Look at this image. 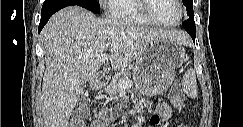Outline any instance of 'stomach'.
<instances>
[{
	"label": "stomach",
	"instance_id": "stomach-1",
	"mask_svg": "<svg viewBox=\"0 0 243 127\" xmlns=\"http://www.w3.org/2000/svg\"><path fill=\"white\" fill-rule=\"evenodd\" d=\"M185 60V50L178 42L167 38L154 40L136 60L133 70L136 88L147 95L164 92Z\"/></svg>",
	"mask_w": 243,
	"mask_h": 127
}]
</instances>
